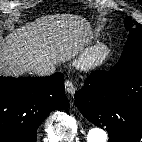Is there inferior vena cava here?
I'll use <instances>...</instances> for the list:
<instances>
[{
	"label": "inferior vena cava",
	"instance_id": "1",
	"mask_svg": "<svg viewBox=\"0 0 142 142\" xmlns=\"http://www.w3.org/2000/svg\"><path fill=\"white\" fill-rule=\"evenodd\" d=\"M56 66L53 62H45L33 68V73L39 76H48L55 72Z\"/></svg>",
	"mask_w": 142,
	"mask_h": 142
}]
</instances>
